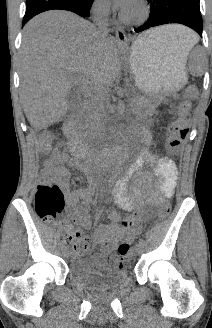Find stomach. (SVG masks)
<instances>
[{"instance_id":"1","label":"stomach","mask_w":212,"mask_h":328,"mask_svg":"<svg viewBox=\"0 0 212 328\" xmlns=\"http://www.w3.org/2000/svg\"><path fill=\"white\" fill-rule=\"evenodd\" d=\"M183 49L165 39L143 34L132 45L130 66L145 93L181 87L187 79Z\"/></svg>"}]
</instances>
